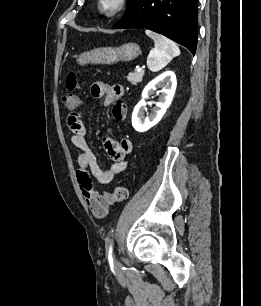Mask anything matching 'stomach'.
I'll use <instances>...</instances> for the list:
<instances>
[{
    "mask_svg": "<svg viewBox=\"0 0 261 306\" xmlns=\"http://www.w3.org/2000/svg\"><path fill=\"white\" fill-rule=\"evenodd\" d=\"M141 53L139 45L127 43L120 47H104L94 49L78 56L77 62L84 64H113L118 61H131Z\"/></svg>",
    "mask_w": 261,
    "mask_h": 306,
    "instance_id": "obj_1",
    "label": "stomach"
}]
</instances>
